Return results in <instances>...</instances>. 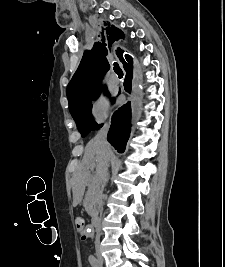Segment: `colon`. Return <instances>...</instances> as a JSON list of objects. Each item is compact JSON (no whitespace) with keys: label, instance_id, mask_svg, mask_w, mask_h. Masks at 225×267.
Returning a JSON list of instances; mask_svg holds the SVG:
<instances>
[{"label":"colon","instance_id":"5ec220e1","mask_svg":"<svg viewBox=\"0 0 225 267\" xmlns=\"http://www.w3.org/2000/svg\"><path fill=\"white\" fill-rule=\"evenodd\" d=\"M75 226L80 235L85 233V221L82 217H77L75 219Z\"/></svg>","mask_w":225,"mask_h":267}]
</instances>
